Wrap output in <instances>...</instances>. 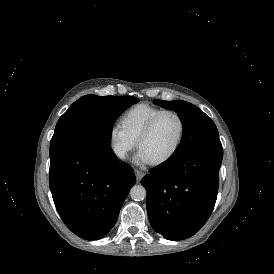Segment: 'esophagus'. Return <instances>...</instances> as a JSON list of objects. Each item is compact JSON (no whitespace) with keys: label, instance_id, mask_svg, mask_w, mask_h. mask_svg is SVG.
Masks as SVG:
<instances>
[{"label":"esophagus","instance_id":"obj_1","mask_svg":"<svg viewBox=\"0 0 274 274\" xmlns=\"http://www.w3.org/2000/svg\"><path fill=\"white\" fill-rule=\"evenodd\" d=\"M134 172H135V176L138 181H140L143 178V176L145 175V173L143 171L138 170V169H135Z\"/></svg>","mask_w":274,"mask_h":274}]
</instances>
